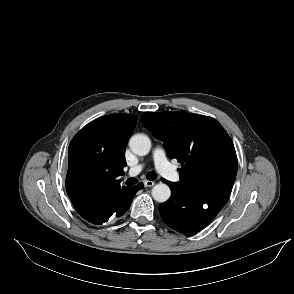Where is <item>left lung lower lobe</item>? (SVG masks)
<instances>
[{
	"label": "left lung lower lobe",
	"instance_id": "obj_1",
	"mask_svg": "<svg viewBox=\"0 0 294 294\" xmlns=\"http://www.w3.org/2000/svg\"><path fill=\"white\" fill-rule=\"evenodd\" d=\"M163 181L169 185L171 197L159 206L161 218L169 227L182 233L194 232L209 224L231 190L227 186L184 189L177 183Z\"/></svg>",
	"mask_w": 294,
	"mask_h": 294
}]
</instances>
